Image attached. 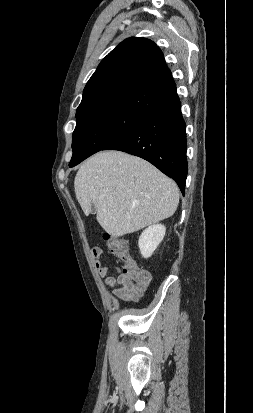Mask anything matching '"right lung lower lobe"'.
<instances>
[{
	"instance_id": "right-lung-lower-lobe-1",
	"label": "right lung lower lobe",
	"mask_w": 253,
	"mask_h": 413,
	"mask_svg": "<svg viewBox=\"0 0 253 413\" xmlns=\"http://www.w3.org/2000/svg\"><path fill=\"white\" fill-rule=\"evenodd\" d=\"M185 129L178 99L147 115L138 127L104 150H119L149 161L175 180L184 194L188 172Z\"/></svg>"
}]
</instances>
